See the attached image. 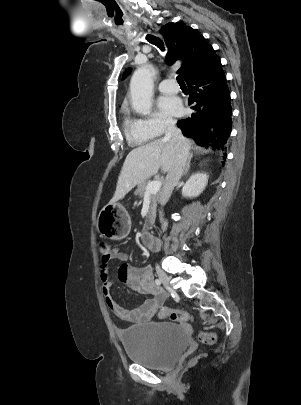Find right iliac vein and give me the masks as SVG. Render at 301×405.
I'll use <instances>...</instances> for the list:
<instances>
[{"instance_id":"obj_1","label":"right iliac vein","mask_w":301,"mask_h":405,"mask_svg":"<svg viewBox=\"0 0 301 405\" xmlns=\"http://www.w3.org/2000/svg\"><path fill=\"white\" fill-rule=\"evenodd\" d=\"M156 272H157V275H158L160 281L163 284H165L166 286H169L170 279H169L168 275L159 266H156Z\"/></svg>"}]
</instances>
